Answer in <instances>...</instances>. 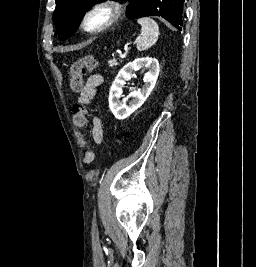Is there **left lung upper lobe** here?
<instances>
[{"label": "left lung upper lobe", "mask_w": 256, "mask_h": 267, "mask_svg": "<svg viewBox=\"0 0 256 267\" xmlns=\"http://www.w3.org/2000/svg\"><path fill=\"white\" fill-rule=\"evenodd\" d=\"M55 1L54 23L59 38L65 40L77 30L88 8L103 0ZM129 2L131 3L128 9L129 18L161 16L175 27V0H129Z\"/></svg>", "instance_id": "obj_1"}]
</instances>
